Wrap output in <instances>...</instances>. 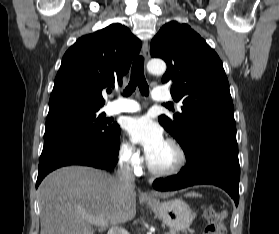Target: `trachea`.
Masks as SVG:
<instances>
[{"label": "trachea", "instance_id": "1", "mask_svg": "<svg viewBox=\"0 0 279 234\" xmlns=\"http://www.w3.org/2000/svg\"><path fill=\"white\" fill-rule=\"evenodd\" d=\"M144 58L142 56L137 57L131 68V77L130 82L126 89L124 90V95L129 96L131 95L136 87H139V90L142 95L148 96L149 95V86L146 82L144 77Z\"/></svg>", "mask_w": 279, "mask_h": 234}]
</instances>
